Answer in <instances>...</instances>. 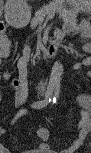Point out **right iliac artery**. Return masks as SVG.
Returning a JSON list of instances; mask_svg holds the SVG:
<instances>
[{"mask_svg":"<svg viewBox=\"0 0 91 153\" xmlns=\"http://www.w3.org/2000/svg\"><path fill=\"white\" fill-rule=\"evenodd\" d=\"M53 90H54V87L52 85H49L47 87L45 97L40 101H36L32 103L31 107L33 109H41L46 107L52 100Z\"/></svg>","mask_w":91,"mask_h":153,"instance_id":"right-iliac-artery-1","label":"right iliac artery"}]
</instances>
